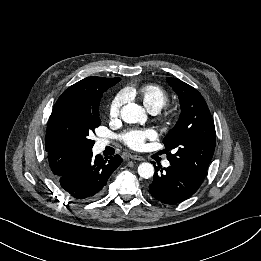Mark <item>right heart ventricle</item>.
Returning a JSON list of instances; mask_svg holds the SVG:
<instances>
[{
	"mask_svg": "<svg viewBox=\"0 0 261 261\" xmlns=\"http://www.w3.org/2000/svg\"><path fill=\"white\" fill-rule=\"evenodd\" d=\"M127 96H137L151 113H158L168 102L169 95L158 85H145L137 90L125 89Z\"/></svg>",
	"mask_w": 261,
	"mask_h": 261,
	"instance_id": "right-heart-ventricle-1",
	"label": "right heart ventricle"
}]
</instances>
